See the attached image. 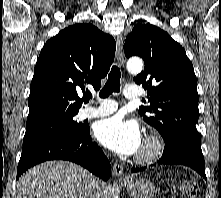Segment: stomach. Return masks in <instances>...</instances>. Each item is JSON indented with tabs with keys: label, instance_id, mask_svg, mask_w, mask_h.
<instances>
[{
	"label": "stomach",
	"instance_id": "1",
	"mask_svg": "<svg viewBox=\"0 0 221 198\" xmlns=\"http://www.w3.org/2000/svg\"><path fill=\"white\" fill-rule=\"evenodd\" d=\"M123 185L132 198H152L156 193L154 184L146 178L131 177Z\"/></svg>",
	"mask_w": 221,
	"mask_h": 198
}]
</instances>
